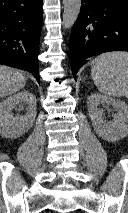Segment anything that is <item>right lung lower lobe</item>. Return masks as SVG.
Returning a JSON list of instances; mask_svg holds the SVG:
<instances>
[{"instance_id":"obj_1","label":"right lung lower lobe","mask_w":128,"mask_h":213,"mask_svg":"<svg viewBox=\"0 0 128 213\" xmlns=\"http://www.w3.org/2000/svg\"><path fill=\"white\" fill-rule=\"evenodd\" d=\"M42 0H0V62L39 79Z\"/></svg>"}]
</instances>
